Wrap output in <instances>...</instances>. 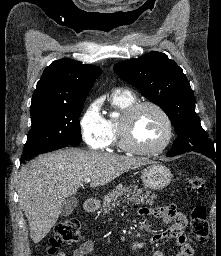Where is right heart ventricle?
Masks as SVG:
<instances>
[{"mask_svg": "<svg viewBox=\"0 0 221 256\" xmlns=\"http://www.w3.org/2000/svg\"><path fill=\"white\" fill-rule=\"evenodd\" d=\"M136 97L133 93L129 91H116L111 96V104L113 107L119 109L121 112L136 103ZM120 119H108L107 126L109 130V145H114L118 142V128H119Z\"/></svg>", "mask_w": 221, "mask_h": 256, "instance_id": "obj_1", "label": "right heart ventricle"}]
</instances>
